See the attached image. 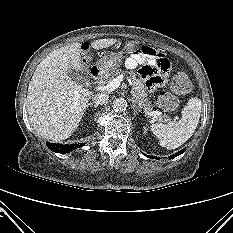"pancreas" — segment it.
<instances>
[{
    "instance_id": "cf45deb5",
    "label": "pancreas",
    "mask_w": 233,
    "mask_h": 233,
    "mask_svg": "<svg viewBox=\"0 0 233 233\" xmlns=\"http://www.w3.org/2000/svg\"><path fill=\"white\" fill-rule=\"evenodd\" d=\"M123 72L121 70H116L115 73L110 74L109 80H113L114 78L120 76ZM129 80L132 84V94L134 96L135 101L138 103L139 107L143 109L145 112H151L152 107L150 101L147 99V93L145 86L142 82V79L136 78V75L133 72H130ZM157 120L167 121L168 118L166 116H158Z\"/></svg>"
}]
</instances>
